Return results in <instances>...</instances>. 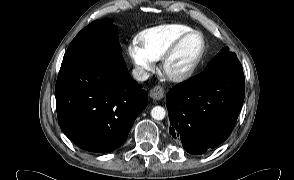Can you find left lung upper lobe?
Segmentation results:
<instances>
[{
	"label": "left lung upper lobe",
	"instance_id": "1",
	"mask_svg": "<svg viewBox=\"0 0 294 180\" xmlns=\"http://www.w3.org/2000/svg\"><path fill=\"white\" fill-rule=\"evenodd\" d=\"M225 69H242L236 54L230 52L228 47H224L195 78L203 80L213 73Z\"/></svg>",
	"mask_w": 294,
	"mask_h": 180
}]
</instances>
